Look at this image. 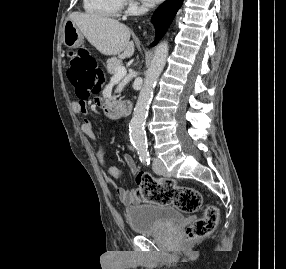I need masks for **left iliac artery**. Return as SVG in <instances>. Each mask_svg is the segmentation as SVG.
Segmentation results:
<instances>
[{"label":"left iliac artery","instance_id":"1","mask_svg":"<svg viewBox=\"0 0 286 269\" xmlns=\"http://www.w3.org/2000/svg\"><path fill=\"white\" fill-rule=\"evenodd\" d=\"M149 155L147 154V156H142L141 161L146 163L147 165L150 164V158L148 157Z\"/></svg>","mask_w":286,"mask_h":269}]
</instances>
